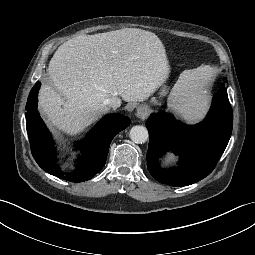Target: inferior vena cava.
I'll return each mask as SVG.
<instances>
[{
    "label": "inferior vena cava",
    "mask_w": 255,
    "mask_h": 255,
    "mask_svg": "<svg viewBox=\"0 0 255 255\" xmlns=\"http://www.w3.org/2000/svg\"><path fill=\"white\" fill-rule=\"evenodd\" d=\"M106 105L110 108L117 109L121 105V100L118 97L113 96L106 100Z\"/></svg>",
    "instance_id": "inferior-vena-cava-1"
}]
</instances>
